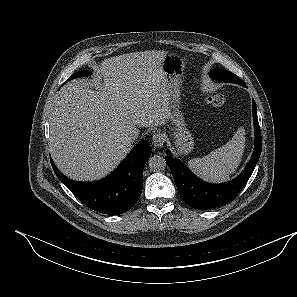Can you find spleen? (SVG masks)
<instances>
[{"instance_id": "3e777b00", "label": "spleen", "mask_w": 297, "mask_h": 297, "mask_svg": "<svg viewBox=\"0 0 297 297\" xmlns=\"http://www.w3.org/2000/svg\"><path fill=\"white\" fill-rule=\"evenodd\" d=\"M245 133V129L239 127L224 146L202 158L188 161L189 168L206 181H227L241 162L245 148Z\"/></svg>"}]
</instances>
